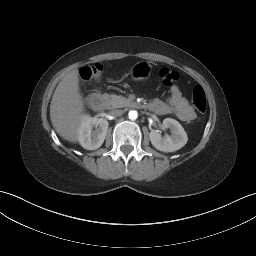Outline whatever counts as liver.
I'll use <instances>...</instances> for the list:
<instances>
[{"instance_id":"obj_1","label":"liver","mask_w":256,"mask_h":256,"mask_svg":"<svg viewBox=\"0 0 256 256\" xmlns=\"http://www.w3.org/2000/svg\"><path fill=\"white\" fill-rule=\"evenodd\" d=\"M84 111L78 70L73 69L63 76L51 100L50 120L59 136L69 142L76 143Z\"/></svg>"}]
</instances>
